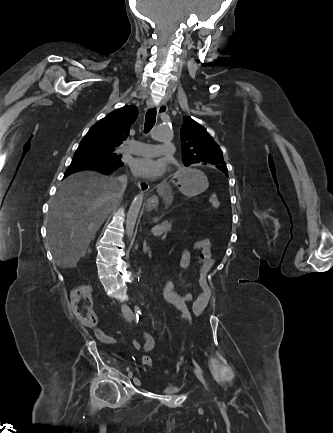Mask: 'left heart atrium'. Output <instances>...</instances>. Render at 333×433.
<instances>
[{
  "label": "left heart atrium",
  "instance_id": "left-heart-atrium-1",
  "mask_svg": "<svg viewBox=\"0 0 333 433\" xmlns=\"http://www.w3.org/2000/svg\"><path fill=\"white\" fill-rule=\"evenodd\" d=\"M130 166L136 175L147 178L159 177L165 170L163 162L152 157L134 158Z\"/></svg>",
  "mask_w": 333,
  "mask_h": 433
}]
</instances>
